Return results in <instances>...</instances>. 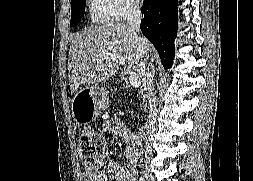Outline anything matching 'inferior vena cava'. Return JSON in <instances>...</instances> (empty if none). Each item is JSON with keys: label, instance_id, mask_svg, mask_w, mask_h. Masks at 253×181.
I'll return each mask as SVG.
<instances>
[{"label": "inferior vena cava", "instance_id": "602c4592", "mask_svg": "<svg viewBox=\"0 0 253 181\" xmlns=\"http://www.w3.org/2000/svg\"><path fill=\"white\" fill-rule=\"evenodd\" d=\"M126 18H127V25H129L133 29L136 35L137 33L139 34L142 14H141L138 3L131 2L128 4L126 8ZM136 42L138 45V50L144 55L145 77L143 79V87H144V90L147 91L149 104H150V116H151L150 120L151 121L149 122V125L151 128H149L148 130V133H150L149 134V139H150V137H152V134H153V132L151 131L155 127L154 121H156L158 118L157 101L156 99H154L153 92H152L153 78L150 72L151 63L149 61L148 52H147V42L144 38L138 35L136 36Z\"/></svg>", "mask_w": 253, "mask_h": 181}]
</instances>
